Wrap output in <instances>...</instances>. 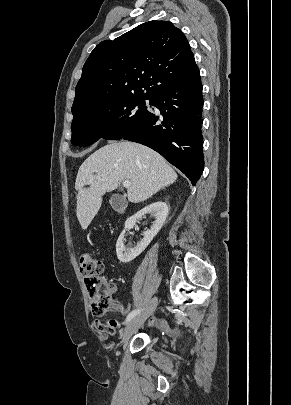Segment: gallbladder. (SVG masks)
Listing matches in <instances>:
<instances>
[{"mask_svg":"<svg viewBox=\"0 0 291 405\" xmlns=\"http://www.w3.org/2000/svg\"><path fill=\"white\" fill-rule=\"evenodd\" d=\"M109 203L111 207L118 212L123 211L127 206L126 198L119 194L112 195Z\"/></svg>","mask_w":291,"mask_h":405,"instance_id":"bac80fb5","label":"gallbladder"}]
</instances>
